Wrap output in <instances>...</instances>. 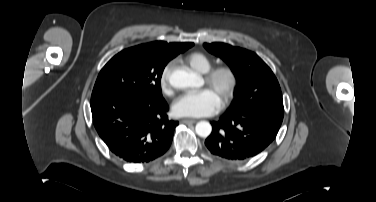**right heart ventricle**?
I'll use <instances>...</instances> for the list:
<instances>
[{"mask_svg":"<svg viewBox=\"0 0 376 202\" xmlns=\"http://www.w3.org/2000/svg\"><path fill=\"white\" fill-rule=\"evenodd\" d=\"M182 61L191 69L201 74L209 71L212 66V60L203 52L190 53Z\"/></svg>","mask_w":376,"mask_h":202,"instance_id":"obj_1","label":"right heart ventricle"}]
</instances>
